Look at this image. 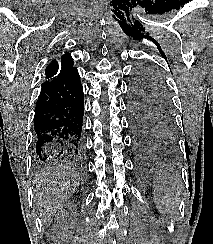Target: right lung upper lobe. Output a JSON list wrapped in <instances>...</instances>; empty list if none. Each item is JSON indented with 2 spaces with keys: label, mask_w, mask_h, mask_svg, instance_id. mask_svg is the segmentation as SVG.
<instances>
[{
  "label": "right lung upper lobe",
  "mask_w": 213,
  "mask_h": 244,
  "mask_svg": "<svg viewBox=\"0 0 213 244\" xmlns=\"http://www.w3.org/2000/svg\"><path fill=\"white\" fill-rule=\"evenodd\" d=\"M76 68L73 67V59L69 53L63 54L61 57L52 60V62L46 67V82L52 81L56 78L65 76L72 70Z\"/></svg>",
  "instance_id": "1"
}]
</instances>
